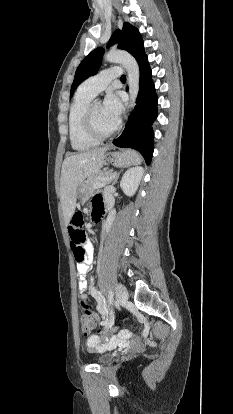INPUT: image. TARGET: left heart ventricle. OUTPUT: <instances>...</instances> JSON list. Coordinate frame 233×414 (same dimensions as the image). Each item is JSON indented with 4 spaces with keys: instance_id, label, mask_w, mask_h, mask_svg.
<instances>
[{
    "instance_id": "1",
    "label": "left heart ventricle",
    "mask_w": 233,
    "mask_h": 414,
    "mask_svg": "<svg viewBox=\"0 0 233 414\" xmlns=\"http://www.w3.org/2000/svg\"><path fill=\"white\" fill-rule=\"evenodd\" d=\"M92 113L94 125L99 132L107 133L115 127L117 122L113 121L105 114L101 104H94Z\"/></svg>"
}]
</instances>
